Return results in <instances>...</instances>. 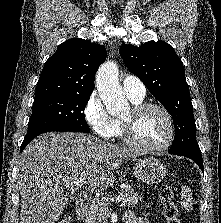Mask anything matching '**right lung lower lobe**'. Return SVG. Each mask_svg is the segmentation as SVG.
Returning <instances> with one entry per match:
<instances>
[{"label": "right lung lower lobe", "mask_w": 221, "mask_h": 223, "mask_svg": "<svg viewBox=\"0 0 221 223\" xmlns=\"http://www.w3.org/2000/svg\"><path fill=\"white\" fill-rule=\"evenodd\" d=\"M65 132V131H64ZM67 132V131H66ZM45 133V132H44ZM42 133H39V134H36V135H33V136H30V137H25L24 140H23V143L20 147V152H22L24 150V148L27 146V144L33 140L36 136L40 135Z\"/></svg>", "instance_id": "right-lung-lower-lobe-1"}]
</instances>
